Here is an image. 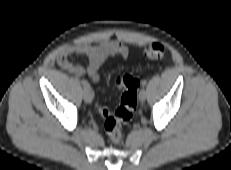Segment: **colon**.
Instances as JSON below:
<instances>
[{"label":"colon","instance_id":"1","mask_svg":"<svg viewBox=\"0 0 231 170\" xmlns=\"http://www.w3.org/2000/svg\"><path fill=\"white\" fill-rule=\"evenodd\" d=\"M165 49L159 43H151L145 49V55L149 59L157 60L164 56ZM117 87L123 90L120 105L114 112L104 106L98 105L100 114L105 118L104 128L110 140L119 144L124 139L122 124L128 123L138 103L139 81L130 74L118 76L115 80Z\"/></svg>","mask_w":231,"mask_h":170}]
</instances>
